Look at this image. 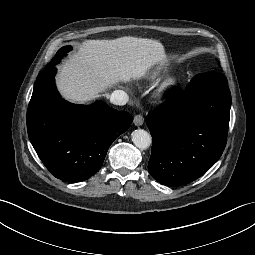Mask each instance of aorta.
Instances as JSON below:
<instances>
[{
    "label": "aorta",
    "instance_id": "obj_1",
    "mask_svg": "<svg viewBox=\"0 0 255 255\" xmlns=\"http://www.w3.org/2000/svg\"><path fill=\"white\" fill-rule=\"evenodd\" d=\"M132 142L137 148L145 150L149 148L152 140L150 134L147 131L143 129H137L132 133Z\"/></svg>",
    "mask_w": 255,
    "mask_h": 255
}]
</instances>
